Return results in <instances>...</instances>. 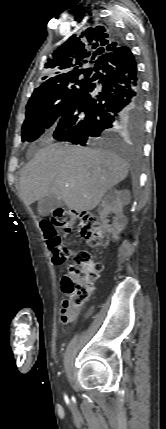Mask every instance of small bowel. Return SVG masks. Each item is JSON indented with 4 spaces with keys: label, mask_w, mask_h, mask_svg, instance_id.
<instances>
[{
    "label": "small bowel",
    "mask_w": 166,
    "mask_h": 429,
    "mask_svg": "<svg viewBox=\"0 0 166 429\" xmlns=\"http://www.w3.org/2000/svg\"><path fill=\"white\" fill-rule=\"evenodd\" d=\"M78 315V309L67 301H62L60 306V322L67 324L75 320Z\"/></svg>",
    "instance_id": "c3829d8e"
}]
</instances>
